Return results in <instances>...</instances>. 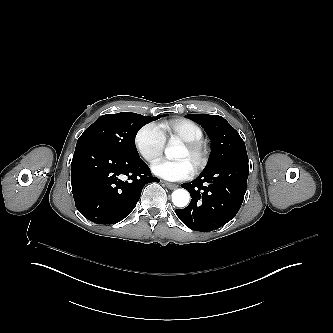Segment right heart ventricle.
<instances>
[{"label":"right heart ventricle","mask_w":333,"mask_h":333,"mask_svg":"<svg viewBox=\"0 0 333 333\" xmlns=\"http://www.w3.org/2000/svg\"><path fill=\"white\" fill-rule=\"evenodd\" d=\"M159 130L165 138L170 136L172 139L179 138L184 142L203 139L201 128L194 122L183 118L175 119L166 125H160Z\"/></svg>","instance_id":"e07e8e85"}]
</instances>
